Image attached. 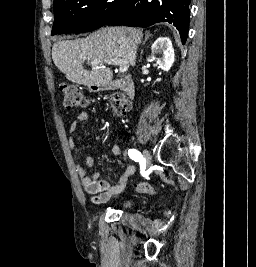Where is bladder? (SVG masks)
Returning a JSON list of instances; mask_svg holds the SVG:
<instances>
[{
    "label": "bladder",
    "instance_id": "bladder-1",
    "mask_svg": "<svg viewBox=\"0 0 256 267\" xmlns=\"http://www.w3.org/2000/svg\"><path fill=\"white\" fill-rule=\"evenodd\" d=\"M134 204V200L132 199H127V200H124L121 204V208H125V207H128V206H131Z\"/></svg>",
    "mask_w": 256,
    "mask_h": 267
}]
</instances>
